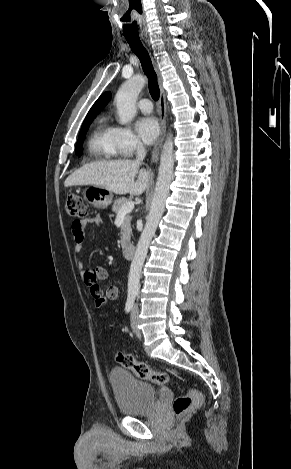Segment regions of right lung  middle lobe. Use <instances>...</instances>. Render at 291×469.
Listing matches in <instances>:
<instances>
[{
  "mask_svg": "<svg viewBox=\"0 0 291 469\" xmlns=\"http://www.w3.org/2000/svg\"><path fill=\"white\" fill-rule=\"evenodd\" d=\"M93 118L94 117H87V118H85V120L83 122L82 128L80 130L79 138H78L77 143H76V152L75 153H76L77 156H81V154H82V149H81L82 141L85 137V134H86V132L88 130V127L91 124Z\"/></svg>",
  "mask_w": 291,
  "mask_h": 469,
  "instance_id": "obj_1",
  "label": "right lung middle lobe"
}]
</instances>
